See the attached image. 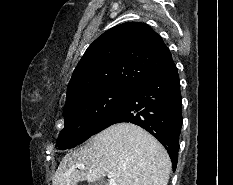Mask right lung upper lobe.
Here are the masks:
<instances>
[{
    "instance_id": "1",
    "label": "right lung upper lobe",
    "mask_w": 233,
    "mask_h": 185,
    "mask_svg": "<svg viewBox=\"0 0 233 185\" xmlns=\"http://www.w3.org/2000/svg\"><path fill=\"white\" fill-rule=\"evenodd\" d=\"M173 63L162 38L145 23L117 25L86 50L67 87L66 103L104 88L132 89Z\"/></svg>"
}]
</instances>
